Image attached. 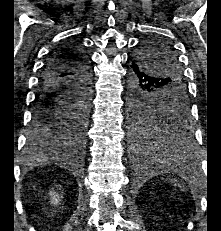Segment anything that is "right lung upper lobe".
Returning a JSON list of instances; mask_svg holds the SVG:
<instances>
[{"label": "right lung upper lobe", "instance_id": "obj_1", "mask_svg": "<svg viewBox=\"0 0 221 231\" xmlns=\"http://www.w3.org/2000/svg\"><path fill=\"white\" fill-rule=\"evenodd\" d=\"M76 52L74 47L66 46L64 48H61L59 54L57 56H72Z\"/></svg>", "mask_w": 221, "mask_h": 231}]
</instances>
